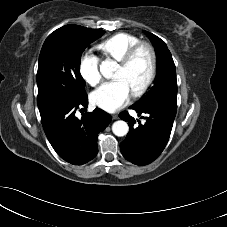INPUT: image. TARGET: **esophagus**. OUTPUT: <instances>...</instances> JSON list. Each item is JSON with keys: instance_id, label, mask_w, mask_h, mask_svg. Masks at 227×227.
<instances>
[{"instance_id": "34e87169", "label": "esophagus", "mask_w": 227, "mask_h": 227, "mask_svg": "<svg viewBox=\"0 0 227 227\" xmlns=\"http://www.w3.org/2000/svg\"><path fill=\"white\" fill-rule=\"evenodd\" d=\"M112 119H113V120L118 119V115H116V114L112 115Z\"/></svg>"}]
</instances>
